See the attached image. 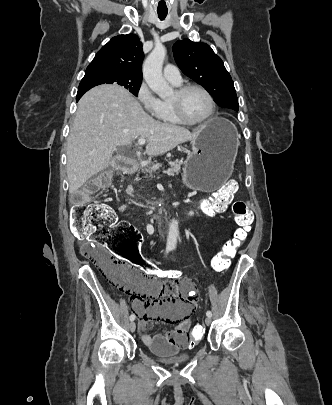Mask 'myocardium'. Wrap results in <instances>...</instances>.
<instances>
[{"label":"myocardium","mask_w":332,"mask_h":405,"mask_svg":"<svg viewBox=\"0 0 332 405\" xmlns=\"http://www.w3.org/2000/svg\"><path fill=\"white\" fill-rule=\"evenodd\" d=\"M191 89H197L202 91L207 98L209 99L210 102V111L209 113L202 119L199 120H190L188 119L182 109V97L184 96V94L191 90ZM175 98L170 100V104L172 107V110L174 112V115L176 116V118L178 119V121L180 123L186 124V125H202L205 124L207 122H209L215 115L216 112V102L215 99L213 97V95L211 94V92L205 88L204 86L200 85V84H196V83H189V84H184L181 85L179 87H177V89L175 90Z\"/></svg>","instance_id":"f54148a6"}]
</instances>
